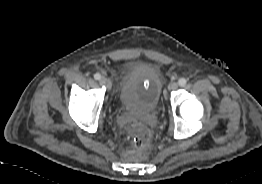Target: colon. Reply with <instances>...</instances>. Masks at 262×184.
<instances>
[{
  "label": "colon",
  "instance_id": "obj_1",
  "mask_svg": "<svg viewBox=\"0 0 262 184\" xmlns=\"http://www.w3.org/2000/svg\"><path fill=\"white\" fill-rule=\"evenodd\" d=\"M133 144L136 148H143L146 144V139L141 136H136L133 138Z\"/></svg>",
  "mask_w": 262,
  "mask_h": 184
}]
</instances>
